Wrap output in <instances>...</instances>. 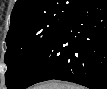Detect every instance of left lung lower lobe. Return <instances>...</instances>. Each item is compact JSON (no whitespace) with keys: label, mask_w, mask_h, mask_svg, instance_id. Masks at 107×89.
Here are the masks:
<instances>
[{"label":"left lung lower lobe","mask_w":107,"mask_h":89,"mask_svg":"<svg viewBox=\"0 0 107 89\" xmlns=\"http://www.w3.org/2000/svg\"><path fill=\"white\" fill-rule=\"evenodd\" d=\"M107 87V0H85L64 22L14 89L47 80Z\"/></svg>","instance_id":"1"}]
</instances>
